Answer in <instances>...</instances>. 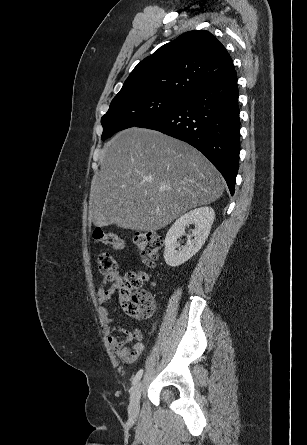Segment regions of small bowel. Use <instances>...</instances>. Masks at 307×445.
<instances>
[{
  "mask_svg": "<svg viewBox=\"0 0 307 445\" xmlns=\"http://www.w3.org/2000/svg\"><path fill=\"white\" fill-rule=\"evenodd\" d=\"M123 278L118 271L106 273L98 284V301L101 305L100 313L102 320L107 324L113 333L108 337V343L115 351L116 355L125 362H134L144 351L142 343V332L138 329L128 331L117 329L114 325V319L111 312L104 306L111 298L112 294L118 289Z\"/></svg>",
  "mask_w": 307,
  "mask_h": 445,
  "instance_id": "small-bowel-1",
  "label": "small bowel"
}]
</instances>
